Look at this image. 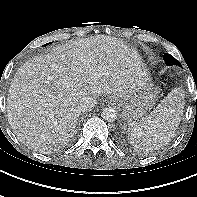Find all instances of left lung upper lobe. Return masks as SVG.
<instances>
[{
  "instance_id": "left-lung-upper-lobe-1",
  "label": "left lung upper lobe",
  "mask_w": 197,
  "mask_h": 197,
  "mask_svg": "<svg viewBox=\"0 0 197 197\" xmlns=\"http://www.w3.org/2000/svg\"><path fill=\"white\" fill-rule=\"evenodd\" d=\"M163 59H164V61L166 62V64L168 66H170V65H179V66H181L180 63H179V61L176 60L173 56H171L168 53H165L164 54Z\"/></svg>"
}]
</instances>
